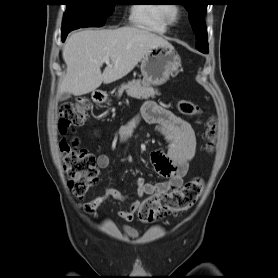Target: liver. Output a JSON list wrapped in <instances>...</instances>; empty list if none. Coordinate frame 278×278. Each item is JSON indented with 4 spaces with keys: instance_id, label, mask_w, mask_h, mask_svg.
Listing matches in <instances>:
<instances>
[{
    "instance_id": "6515ba94",
    "label": "liver",
    "mask_w": 278,
    "mask_h": 278,
    "mask_svg": "<svg viewBox=\"0 0 278 278\" xmlns=\"http://www.w3.org/2000/svg\"><path fill=\"white\" fill-rule=\"evenodd\" d=\"M157 46H170V43L137 27L87 29L74 33L63 47L67 72L58 87V94L85 95L95 91L102 83L119 80L130 73L151 48ZM105 57H109L110 63L101 73Z\"/></svg>"
}]
</instances>
